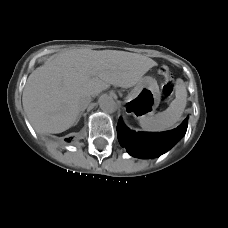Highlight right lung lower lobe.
Wrapping results in <instances>:
<instances>
[{"label":"right lung lower lobe","instance_id":"obj_1","mask_svg":"<svg viewBox=\"0 0 228 228\" xmlns=\"http://www.w3.org/2000/svg\"><path fill=\"white\" fill-rule=\"evenodd\" d=\"M66 141L70 142L71 140L70 139H66Z\"/></svg>","mask_w":228,"mask_h":228}]
</instances>
